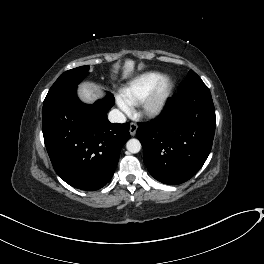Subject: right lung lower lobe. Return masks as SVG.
I'll list each match as a JSON object with an SVG mask.
<instances>
[{
	"instance_id": "98d812e1",
	"label": "right lung lower lobe",
	"mask_w": 264,
	"mask_h": 264,
	"mask_svg": "<svg viewBox=\"0 0 264 264\" xmlns=\"http://www.w3.org/2000/svg\"><path fill=\"white\" fill-rule=\"evenodd\" d=\"M113 105L111 94L93 105L84 104L76 88L44 103L45 146L56 173L69 185L95 191L111 180L130 138L129 123L112 124L107 119Z\"/></svg>"
}]
</instances>
